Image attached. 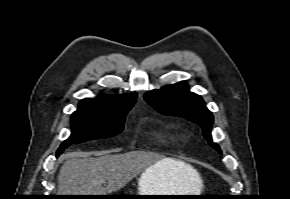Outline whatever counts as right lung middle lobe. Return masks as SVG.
Wrapping results in <instances>:
<instances>
[{"label": "right lung middle lobe", "instance_id": "obj_1", "mask_svg": "<svg viewBox=\"0 0 290 199\" xmlns=\"http://www.w3.org/2000/svg\"><path fill=\"white\" fill-rule=\"evenodd\" d=\"M127 113L94 114L74 112L71 115V136L57 150V156L70 144L115 136L122 132Z\"/></svg>", "mask_w": 290, "mask_h": 199}]
</instances>
